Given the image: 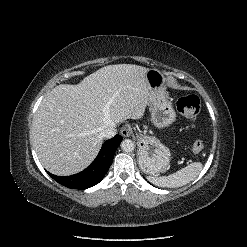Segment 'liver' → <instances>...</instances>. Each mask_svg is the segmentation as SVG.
Returning a JSON list of instances; mask_svg holds the SVG:
<instances>
[{"mask_svg":"<svg viewBox=\"0 0 247 247\" xmlns=\"http://www.w3.org/2000/svg\"><path fill=\"white\" fill-rule=\"evenodd\" d=\"M148 69L108 65L77 85L61 84L43 98L33 122V142L43 167L68 176L98 154L102 132L127 119H140L151 100Z\"/></svg>","mask_w":247,"mask_h":247,"instance_id":"6515ba94","label":"liver"}]
</instances>
